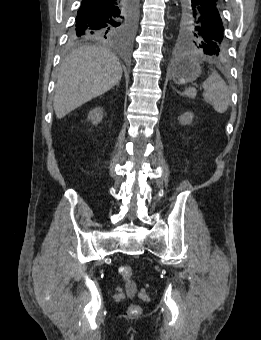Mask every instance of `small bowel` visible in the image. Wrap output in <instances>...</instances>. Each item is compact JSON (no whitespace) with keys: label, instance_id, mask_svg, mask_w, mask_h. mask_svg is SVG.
Returning <instances> with one entry per match:
<instances>
[{"label":"small bowel","instance_id":"1","mask_svg":"<svg viewBox=\"0 0 261 340\" xmlns=\"http://www.w3.org/2000/svg\"><path fill=\"white\" fill-rule=\"evenodd\" d=\"M136 289L134 286H128L127 287V294L128 295H133L135 293Z\"/></svg>","mask_w":261,"mask_h":340}]
</instances>
